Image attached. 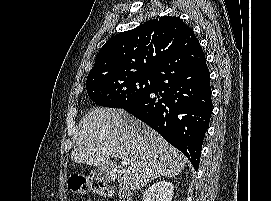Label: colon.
I'll use <instances>...</instances> for the list:
<instances>
[{"instance_id":"5ec220e1","label":"colon","mask_w":271,"mask_h":201,"mask_svg":"<svg viewBox=\"0 0 271 201\" xmlns=\"http://www.w3.org/2000/svg\"><path fill=\"white\" fill-rule=\"evenodd\" d=\"M69 188L74 193L86 194L92 192L104 198L111 197L113 194L110 186L93 176L73 178L69 181Z\"/></svg>"}]
</instances>
